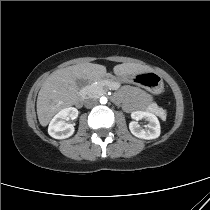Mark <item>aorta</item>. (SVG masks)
<instances>
[{"label":"aorta","mask_w":210,"mask_h":210,"mask_svg":"<svg viewBox=\"0 0 210 210\" xmlns=\"http://www.w3.org/2000/svg\"><path fill=\"white\" fill-rule=\"evenodd\" d=\"M103 98L100 99V102L105 104L107 102V99L105 98V101L102 100Z\"/></svg>","instance_id":"aorta-1"}]
</instances>
